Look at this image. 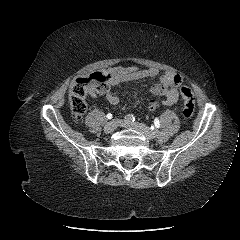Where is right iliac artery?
I'll return each mask as SVG.
<instances>
[{"label": "right iliac artery", "mask_w": 240, "mask_h": 240, "mask_svg": "<svg viewBox=\"0 0 240 240\" xmlns=\"http://www.w3.org/2000/svg\"><path fill=\"white\" fill-rule=\"evenodd\" d=\"M135 120V117L132 115V114H128L124 117V121L125 122H128V123H131Z\"/></svg>", "instance_id": "obj_1"}]
</instances>
